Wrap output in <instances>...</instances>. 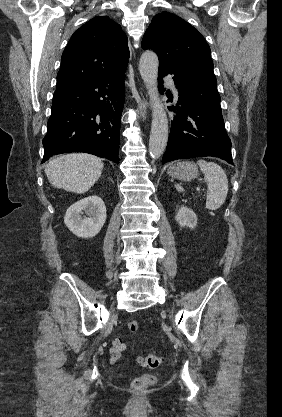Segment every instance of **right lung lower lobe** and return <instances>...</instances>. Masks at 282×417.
Listing matches in <instances>:
<instances>
[{"label":"right lung lower lobe","instance_id":"1","mask_svg":"<svg viewBox=\"0 0 282 417\" xmlns=\"http://www.w3.org/2000/svg\"><path fill=\"white\" fill-rule=\"evenodd\" d=\"M125 71L56 89L44 158L85 152L119 164Z\"/></svg>","mask_w":282,"mask_h":417}]
</instances>
